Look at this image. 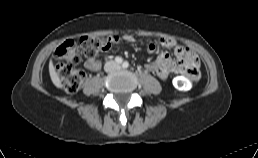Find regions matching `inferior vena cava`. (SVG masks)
Returning a JSON list of instances; mask_svg holds the SVG:
<instances>
[{
	"label": "inferior vena cava",
	"mask_w": 258,
	"mask_h": 158,
	"mask_svg": "<svg viewBox=\"0 0 258 158\" xmlns=\"http://www.w3.org/2000/svg\"><path fill=\"white\" fill-rule=\"evenodd\" d=\"M119 68V65L114 61H109L105 65V71L110 72Z\"/></svg>",
	"instance_id": "1"
}]
</instances>
